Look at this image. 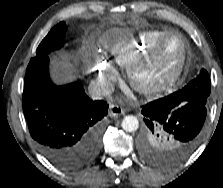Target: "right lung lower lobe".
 Masks as SVG:
<instances>
[{"label":"right lung lower lobe","mask_w":223,"mask_h":188,"mask_svg":"<svg viewBox=\"0 0 223 188\" xmlns=\"http://www.w3.org/2000/svg\"><path fill=\"white\" fill-rule=\"evenodd\" d=\"M47 55L28 64L22 96L28 128L40 152L63 170L89 164L100 147V120L106 102L92 101L79 83L56 86Z\"/></svg>","instance_id":"right-lung-lower-lobe-1"}]
</instances>
